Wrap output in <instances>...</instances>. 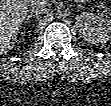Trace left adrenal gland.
<instances>
[{"label":"left adrenal gland","instance_id":"a2214340","mask_svg":"<svg viewBox=\"0 0 111 106\" xmlns=\"http://www.w3.org/2000/svg\"><path fill=\"white\" fill-rule=\"evenodd\" d=\"M73 6H74V7L77 6V7H82V8H84L82 5H79V4H78V5H73Z\"/></svg>","mask_w":111,"mask_h":106}]
</instances>
